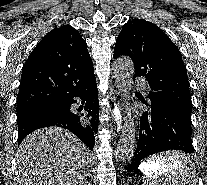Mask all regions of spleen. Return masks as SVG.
<instances>
[{
    "label": "spleen",
    "mask_w": 207,
    "mask_h": 185,
    "mask_svg": "<svg viewBox=\"0 0 207 185\" xmlns=\"http://www.w3.org/2000/svg\"><path fill=\"white\" fill-rule=\"evenodd\" d=\"M179 156H181V151H168V153H154V158H144V163H154V167H163V172L159 174H145L144 183L194 185L199 172H195L193 158H179Z\"/></svg>",
    "instance_id": "3e777b00"
}]
</instances>
